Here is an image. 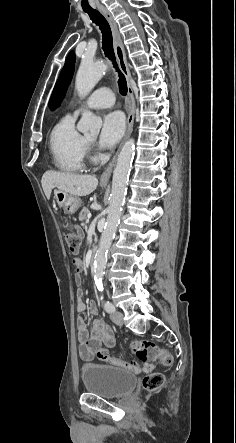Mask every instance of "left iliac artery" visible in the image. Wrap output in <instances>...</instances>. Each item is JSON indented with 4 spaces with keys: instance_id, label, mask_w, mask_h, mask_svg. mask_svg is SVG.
<instances>
[{
    "instance_id": "44dca946",
    "label": "left iliac artery",
    "mask_w": 236,
    "mask_h": 443,
    "mask_svg": "<svg viewBox=\"0 0 236 443\" xmlns=\"http://www.w3.org/2000/svg\"><path fill=\"white\" fill-rule=\"evenodd\" d=\"M98 290L102 292L103 286H99ZM103 298H104L103 295H101V300H103ZM103 306H104V309L106 310V312H108V313H112L115 311L114 305L109 301L103 300Z\"/></svg>"
}]
</instances>
